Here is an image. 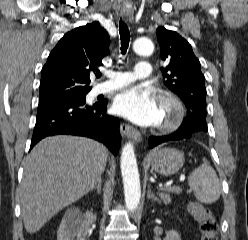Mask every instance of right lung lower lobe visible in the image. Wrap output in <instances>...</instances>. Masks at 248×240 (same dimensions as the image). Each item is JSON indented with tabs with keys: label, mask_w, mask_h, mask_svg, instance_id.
Instances as JSON below:
<instances>
[{
	"label": "right lung lower lobe",
	"mask_w": 248,
	"mask_h": 240,
	"mask_svg": "<svg viewBox=\"0 0 248 240\" xmlns=\"http://www.w3.org/2000/svg\"><path fill=\"white\" fill-rule=\"evenodd\" d=\"M106 106L107 100L93 105L69 98L39 101L30 149L47 136L70 134L96 139L117 154L120 122L106 114Z\"/></svg>",
	"instance_id": "right-lung-lower-lobe-1"
}]
</instances>
